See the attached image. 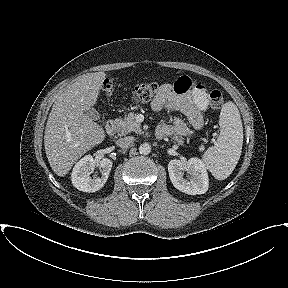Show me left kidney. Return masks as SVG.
I'll use <instances>...</instances> for the list:
<instances>
[{
	"label": "left kidney",
	"mask_w": 288,
	"mask_h": 288,
	"mask_svg": "<svg viewBox=\"0 0 288 288\" xmlns=\"http://www.w3.org/2000/svg\"><path fill=\"white\" fill-rule=\"evenodd\" d=\"M184 171L188 179L184 178ZM168 172L173 186L189 195L204 194L208 190V174L204 163L198 158H190L187 163L171 160Z\"/></svg>",
	"instance_id": "left-kidney-1"
}]
</instances>
